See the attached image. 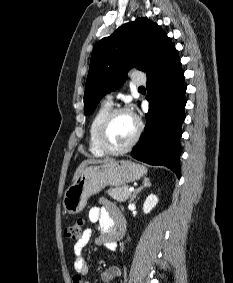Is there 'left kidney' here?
I'll return each mask as SVG.
<instances>
[{
  "mask_svg": "<svg viewBox=\"0 0 233 283\" xmlns=\"http://www.w3.org/2000/svg\"><path fill=\"white\" fill-rule=\"evenodd\" d=\"M158 203V198L157 196L151 194L149 195L144 204H143V212L145 214H148Z\"/></svg>",
  "mask_w": 233,
  "mask_h": 283,
  "instance_id": "obj_1",
  "label": "left kidney"
}]
</instances>
